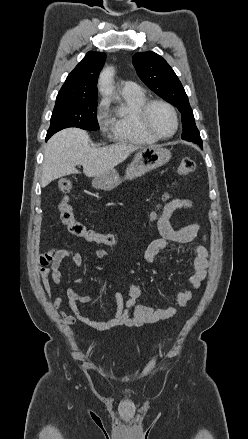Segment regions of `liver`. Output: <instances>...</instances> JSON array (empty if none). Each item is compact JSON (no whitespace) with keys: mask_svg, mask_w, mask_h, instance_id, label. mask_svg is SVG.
<instances>
[{"mask_svg":"<svg viewBox=\"0 0 248 439\" xmlns=\"http://www.w3.org/2000/svg\"><path fill=\"white\" fill-rule=\"evenodd\" d=\"M141 147L118 143L107 147H92L86 131L67 128L53 135L47 142L42 164L41 185L47 186L55 179L77 174V165L83 166L87 177H96L114 169L132 152Z\"/></svg>","mask_w":248,"mask_h":439,"instance_id":"1","label":"liver"}]
</instances>
